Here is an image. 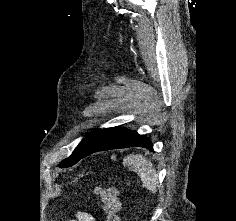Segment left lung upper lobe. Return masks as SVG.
<instances>
[{
  "mask_svg": "<svg viewBox=\"0 0 236 221\" xmlns=\"http://www.w3.org/2000/svg\"><path fill=\"white\" fill-rule=\"evenodd\" d=\"M96 131H93L92 133L88 134L81 142L80 144L76 147V149L73 151V153L65 160H63L58 166L60 168H67L75 163H77V157L79 155V152L81 149L92 139V137L95 135Z\"/></svg>",
  "mask_w": 236,
  "mask_h": 221,
  "instance_id": "1",
  "label": "left lung upper lobe"
}]
</instances>
